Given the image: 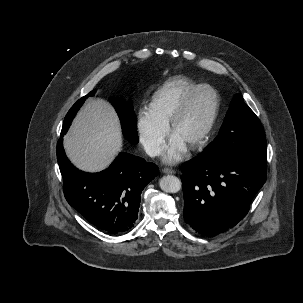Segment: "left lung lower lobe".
<instances>
[{"instance_id":"1","label":"left lung lower lobe","mask_w":303,"mask_h":303,"mask_svg":"<svg viewBox=\"0 0 303 303\" xmlns=\"http://www.w3.org/2000/svg\"><path fill=\"white\" fill-rule=\"evenodd\" d=\"M184 219L198 233L215 236L241 221L266 181V167L200 154L182 166Z\"/></svg>"}]
</instances>
